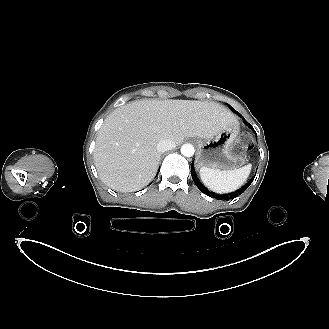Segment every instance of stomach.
Wrapping results in <instances>:
<instances>
[{
	"instance_id": "0dacf381",
	"label": "stomach",
	"mask_w": 329,
	"mask_h": 329,
	"mask_svg": "<svg viewBox=\"0 0 329 329\" xmlns=\"http://www.w3.org/2000/svg\"><path fill=\"white\" fill-rule=\"evenodd\" d=\"M239 132V123L236 122L223 128L212 138L198 141L196 166L218 171L242 168L247 162V156L240 151L242 144Z\"/></svg>"
}]
</instances>
